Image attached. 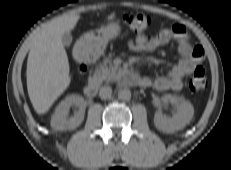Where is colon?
I'll list each match as a JSON object with an SVG mask.
<instances>
[{"label": "colon", "instance_id": "colon-1", "mask_svg": "<svg viewBox=\"0 0 231 170\" xmlns=\"http://www.w3.org/2000/svg\"><path fill=\"white\" fill-rule=\"evenodd\" d=\"M124 24L133 32L141 33L147 30L151 24V19L143 13H127L123 17ZM83 66L78 67V72L84 71ZM192 92H198L206 88L207 78L202 67H196L188 83Z\"/></svg>", "mask_w": 231, "mask_h": 170}]
</instances>
